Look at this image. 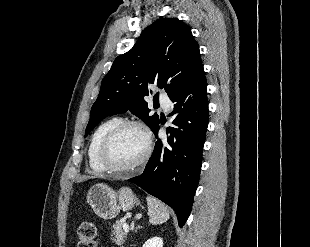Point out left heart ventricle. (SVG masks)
I'll return each mask as SVG.
<instances>
[{"label":"left heart ventricle","instance_id":"left-heart-ventricle-1","mask_svg":"<svg viewBox=\"0 0 310 247\" xmlns=\"http://www.w3.org/2000/svg\"><path fill=\"white\" fill-rule=\"evenodd\" d=\"M145 149V137L141 130L129 127L113 140L109 152V163L115 167H126L135 163Z\"/></svg>","mask_w":310,"mask_h":247}]
</instances>
